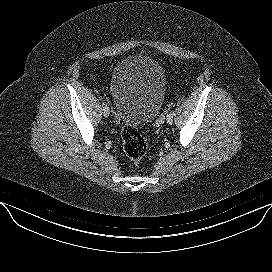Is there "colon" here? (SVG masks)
Listing matches in <instances>:
<instances>
[{
	"label": "colon",
	"instance_id": "1",
	"mask_svg": "<svg viewBox=\"0 0 272 272\" xmlns=\"http://www.w3.org/2000/svg\"><path fill=\"white\" fill-rule=\"evenodd\" d=\"M121 135L124 153L133 162L135 167L140 168L142 159L148 149L146 140L139 130L132 125H125Z\"/></svg>",
	"mask_w": 272,
	"mask_h": 272
}]
</instances>
